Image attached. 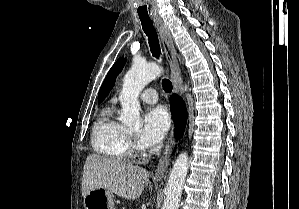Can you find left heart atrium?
Listing matches in <instances>:
<instances>
[{
    "mask_svg": "<svg viewBox=\"0 0 299 209\" xmlns=\"http://www.w3.org/2000/svg\"><path fill=\"white\" fill-rule=\"evenodd\" d=\"M170 126V118L163 107L150 109L144 116V126L139 134L143 147H152L162 141Z\"/></svg>",
    "mask_w": 299,
    "mask_h": 209,
    "instance_id": "left-heart-atrium-1",
    "label": "left heart atrium"
}]
</instances>
